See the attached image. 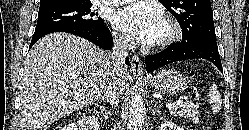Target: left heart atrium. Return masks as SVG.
Segmentation results:
<instances>
[{
  "label": "left heart atrium",
  "mask_w": 249,
  "mask_h": 130,
  "mask_svg": "<svg viewBox=\"0 0 249 130\" xmlns=\"http://www.w3.org/2000/svg\"><path fill=\"white\" fill-rule=\"evenodd\" d=\"M113 21L118 28L145 45L159 41L165 27L162 10L149 1H135L119 9Z\"/></svg>",
  "instance_id": "obj_1"
}]
</instances>
